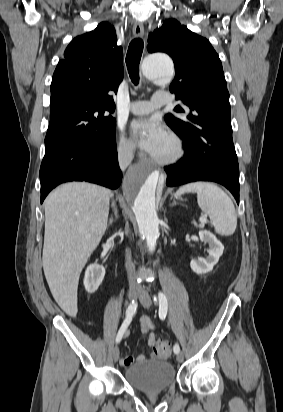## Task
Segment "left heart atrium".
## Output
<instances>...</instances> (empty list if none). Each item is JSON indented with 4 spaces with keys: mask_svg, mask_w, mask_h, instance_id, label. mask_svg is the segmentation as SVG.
Instances as JSON below:
<instances>
[{
    "mask_svg": "<svg viewBox=\"0 0 283 412\" xmlns=\"http://www.w3.org/2000/svg\"><path fill=\"white\" fill-rule=\"evenodd\" d=\"M131 128L140 147L150 154L154 153L167 137L164 127L155 118L135 121Z\"/></svg>",
    "mask_w": 283,
    "mask_h": 412,
    "instance_id": "39dd6f15",
    "label": "left heart atrium"
}]
</instances>
